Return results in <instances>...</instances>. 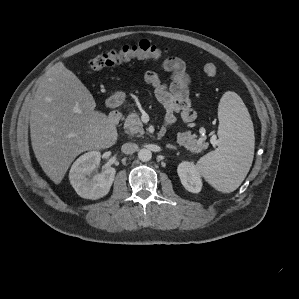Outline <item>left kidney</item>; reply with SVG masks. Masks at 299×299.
I'll use <instances>...</instances> for the list:
<instances>
[{"label": "left kidney", "mask_w": 299, "mask_h": 299, "mask_svg": "<svg viewBox=\"0 0 299 299\" xmlns=\"http://www.w3.org/2000/svg\"><path fill=\"white\" fill-rule=\"evenodd\" d=\"M182 185L190 192L199 193L202 188L200 173L193 163L184 161L177 169Z\"/></svg>", "instance_id": "1"}]
</instances>
